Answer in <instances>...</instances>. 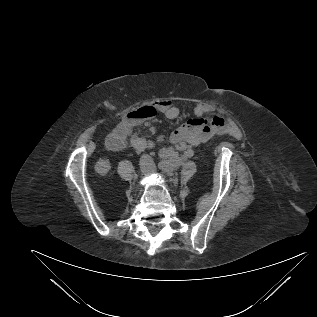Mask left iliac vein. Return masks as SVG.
Wrapping results in <instances>:
<instances>
[{
	"label": "left iliac vein",
	"mask_w": 317,
	"mask_h": 317,
	"mask_svg": "<svg viewBox=\"0 0 317 317\" xmlns=\"http://www.w3.org/2000/svg\"><path fill=\"white\" fill-rule=\"evenodd\" d=\"M172 164H173V165H176V162L173 161ZM168 172L171 173V172H172V169H171V168H168Z\"/></svg>",
	"instance_id": "obj_1"
}]
</instances>
